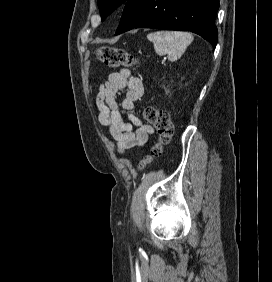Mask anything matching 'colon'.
<instances>
[{"mask_svg":"<svg viewBox=\"0 0 272 282\" xmlns=\"http://www.w3.org/2000/svg\"><path fill=\"white\" fill-rule=\"evenodd\" d=\"M96 57L108 67H132L135 59L124 50L111 46H102L96 49ZM144 120L152 125L159 134L158 143L151 148L150 156L143 162L150 161L162 153V146L169 143L174 133V125L168 112L155 108H146L143 112Z\"/></svg>","mask_w":272,"mask_h":282,"instance_id":"5ec220e1","label":"colon"}]
</instances>
